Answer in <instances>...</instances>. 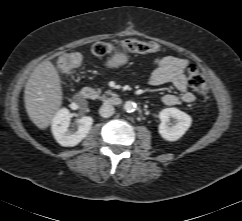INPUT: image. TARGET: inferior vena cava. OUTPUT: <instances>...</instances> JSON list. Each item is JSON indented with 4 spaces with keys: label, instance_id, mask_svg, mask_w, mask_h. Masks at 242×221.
<instances>
[{
    "label": "inferior vena cava",
    "instance_id": "inferior-vena-cava-1",
    "mask_svg": "<svg viewBox=\"0 0 242 221\" xmlns=\"http://www.w3.org/2000/svg\"><path fill=\"white\" fill-rule=\"evenodd\" d=\"M99 114L103 118H109L114 114V107L111 104H103L99 109Z\"/></svg>",
    "mask_w": 242,
    "mask_h": 221
}]
</instances>
